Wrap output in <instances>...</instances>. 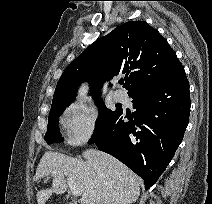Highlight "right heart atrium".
Listing matches in <instances>:
<instances>
[{
	"label": "right heart atrium",
	"instance_id": "d8ad5b80",
	"mask_svg": "<svg viewBox=\"0 0 212 204\" xmlns=\"http://www.w3.org/2000/svg\"><path fill=\"white\" fill-rule=\"evenodd\" d=\"M98 122V111L84 103L70 104L62 117L66 141L71 146L87 143L95 134Z\"/></svg>",
	"mask_w": 212,
	"mask_h": 204
}]
</instances>
